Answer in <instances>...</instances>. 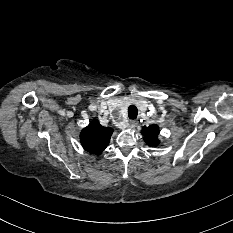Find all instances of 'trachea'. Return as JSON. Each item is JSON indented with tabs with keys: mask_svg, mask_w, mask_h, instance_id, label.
<instances>
[{
	"mask_svg": "<svg viewBox=\"0 0 233 233\" xmlns=\"http://www.w3.org/2000/svg\"><path fill=\"white\" fill-rule=\"evenodd\" d=\"M137 114H138V110H137L136 106L130 105L128 107V117L130 119H136L137 118Z\"/></svg>",
	"mask_w": 233,
	"mask_h": 233,
	"instance_id": "1",
	"label": "trachea"
}]
</instances>
